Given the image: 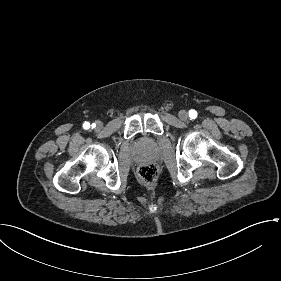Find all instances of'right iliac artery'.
Returning <instances> with one entry per match:
<instances>
[{"instance_id":"1","label":"right iliac artery","mask_w":281,"mask_h":281,"mask_svg":"<svg viewBox=\"0 0 281 281\" xmlns=\"http://www.w3.org/2000/svg\"><path fill=\"white\" fill-rule=\"evenodd\" d=\"M83 127H84L85 129H89V128H90V124H89L88 122H85V123L83 124Z\"/></svg>"}]
</instances>
